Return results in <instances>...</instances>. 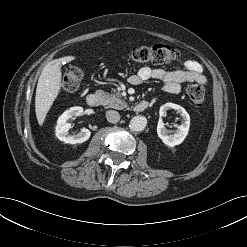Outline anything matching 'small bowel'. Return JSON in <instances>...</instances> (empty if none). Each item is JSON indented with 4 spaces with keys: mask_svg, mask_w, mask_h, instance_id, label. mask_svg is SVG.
Masks as SVG:
<instances>
[{
    "mask_svg": "<svg viewBox=\"0 0 247 247\" xmlns=\"http://www.w3.org/2000/svg\"><path fill=\"white\" fill-rule=\"evenodd\" d=\"M183 69L167 71L162 68L142 67L136 74L129 77V82L139 85L148 79L160 80L164 83V90L176 94L180 92L183 83H197L205 85L207 79L202 72V66L195 60H180Z\"/></svg>",
    "mask_w": 247,
    "mask_h": 247,
    "instance_id": "obj_1",
    "label": "small bowel"
}]
</instances>
